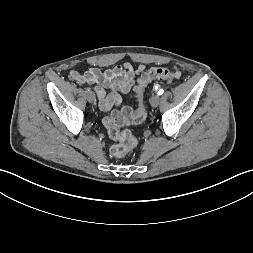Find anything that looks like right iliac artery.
<instances>
[{
    "label": "right iliac artery",
    "mask_w": 253,
    "mask_h": 253,
    "mask_svg": "<svg viewBox=\"0 0 253 253\" xmlns=\"http://www.w3.org/2000/svg\"><path fill=\"white\" fill-rule=\"evenodd\" d=\"M85 90H86V92H89V91H90V88H89V87H87V88H85Z\"/></svg>",
    "instance_id": "82829eb1"
}]
</instances>
